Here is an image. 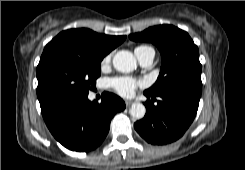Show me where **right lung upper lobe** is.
I'll return each instance as SVG.
<instances>
[{"mask_svg":"<svg viewBox=\"0 0 245 170\" xmlns=\"http://www.w3.org/2000/svg\"><path fill=\"white\" fill-rule=\"evenodd\" d=\"M126 36L98 34L89 29H70L61 32L44 48V52L61 51L91 59H103L120 45Z\"/></svg>","mask_w":245,"mask_h":170,"instance_id":"1","label":"right lung upper lobe"}]
</instances>
